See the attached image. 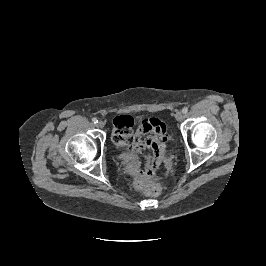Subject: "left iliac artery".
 Wrapping results in <instances>:
<instances>
[{
	"instance_id": "obj_1",
	"label": "left iliac artery",
	"mask_w": 266,
	"mask_h": 266,
	"mask_svg": "<svg viewBox=\"0 0 266 266\" xmlns=\"http://www.w3.org/2000/svg\"><path fill=\"white\" fill-rule=\"evenodd\" d=\"M187 112H188V108L184 107V108L182 109V113H183V114H186Z\"/></svg>"
}]
</instances>
